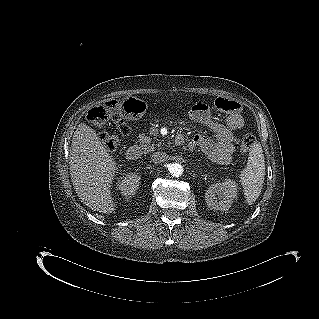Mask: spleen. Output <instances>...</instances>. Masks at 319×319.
Wrapping results in <instances>:
<instances>
[{
  "instance_id": "1",
  "label": "spleen",
  "mask_w": 319,
  "mask_h": 319,
  "mask_svg": "<svg viewBox=\"0 0 319 319\" xmlns=\"http://www.w3.org/2000/svg\"><path fill=\"white\" fill-rule=\"evenodd\" d=\"M265 176V161L262 146L254 142L251 145L246 168L240 179L248 203L254 202L260 195Z\"/></svg>"
}]
</instances>
